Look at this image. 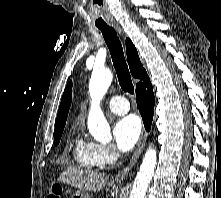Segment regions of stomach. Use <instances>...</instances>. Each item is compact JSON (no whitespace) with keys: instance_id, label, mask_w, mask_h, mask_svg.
Instances as JSON below:
<instances>
[{"instance_id":"stomach-1","label":"stomach","mask_w":221,"mask_h":198,"mask_svg":"<svg viewBox=\"0 0 221 198\" xmlns=\"http://www.w3.org/2000/svg\"><path fill=\"white\" fill-rule=\"evenodd\" d=\"M71 198H90V195L87 191L77 190Z\"/></svg>"}]
</instances>
